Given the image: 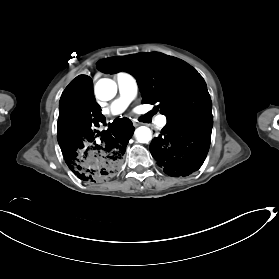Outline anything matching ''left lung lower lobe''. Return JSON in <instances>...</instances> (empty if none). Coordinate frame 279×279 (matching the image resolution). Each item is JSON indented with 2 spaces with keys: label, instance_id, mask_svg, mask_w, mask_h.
Wrapping results in <instances>:
<instances>
[{
  "label": "left lung lower lobe",
  "instance_id": "obj_1",
  "mask_svg": "<svg viewBox=\"0 0 279 279\" xmlns=\"http://www.w3.org/2000/svg\"><path fill=\"white\" fill-rule=\"evenodd\" d=\"M212 125L211 122L166 124L151 142L150 152L167 175L188 176L200 168L207 156Z\"/></svg>",
  "mask_w": 279,
  "mask_h": 279
}]
</instances>
